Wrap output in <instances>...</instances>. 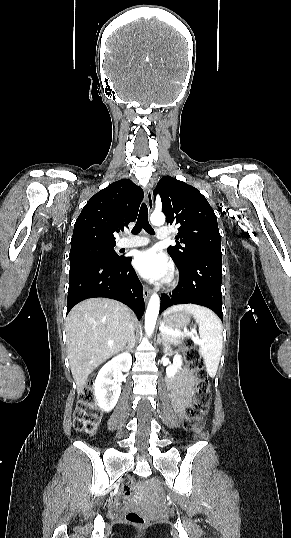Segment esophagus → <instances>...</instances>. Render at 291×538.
I'll return each mask as SVG.
<instances>
[{"mask_svg": "<svg viewBox=\"0 0 291 538\" xmlns=\"http://www.w3.org/2000/svg\"><path fill=\"white\" fill-rule=\"evenodd\" d=\"M145 200H146V203H147V207H148V210L149 212H151L153 210V206H154V203H153V193H152V188L151 187H147L146 190H145ZM144 298L146 301H148L151 293H152V290L150 287L148 286H144Z\"/></svg>", "mask_w": 291, "mask_h": 538, "instance_id": "esophagus-1", "label": "esophagus"}]
</instances>
